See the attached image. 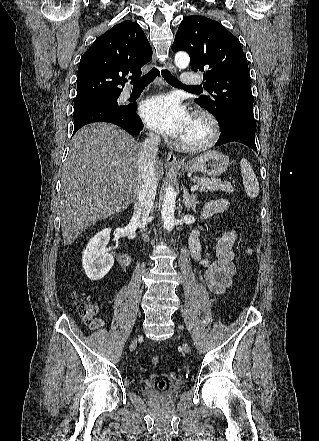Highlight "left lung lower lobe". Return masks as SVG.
<instances>
[{
	"mask_svg": "<svg viewBox=\"0 0 319 441\" xmlns=\"http://www.w3.org/2000/svg\"><path fill=\"white\" fill-rule=\"evenodd\" d=\"M256 125L247 121L233 119L221 128V137L216 143V146L226 144L229 142L243 143L253 150H257L255 144Z\"/></svg>",
	"mask_w": 319,
	"mask_h": 441,
	"instance_id": "1",
	"label": "left lung lower lobe"
}]
</instances>
